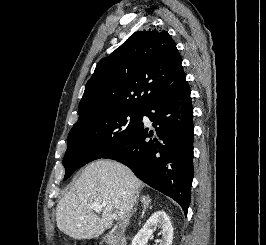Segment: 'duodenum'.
<instances>
[{"instance_id": "obj_1", "label": "duodenum", "mask_w": 266, "mask_h": 245, "mask_svg": "<svg viewBox=\"0 0 266 245\" xmlns=\"http://www.w3.org/2000/svg\"><path fill=\"white\" fill-rule=\"evenodd\" d=\"M109 245H125L123 239H121L119 236L117 235H111V240L108 243Z\"/></svg>"}]
</instances>
